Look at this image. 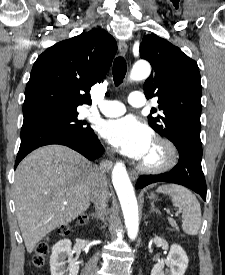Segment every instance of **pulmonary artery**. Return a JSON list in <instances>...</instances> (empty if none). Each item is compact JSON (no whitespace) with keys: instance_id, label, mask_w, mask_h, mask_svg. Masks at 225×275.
<instances>
[{"instance_id":"obj_1","label":"pulmonary artery","mask_w":225,"mask_h":275,"mask_svg":"<svg viewBox=\"0 0 225 275\" xmlns=\"http://www.w3.org/2000/svg\"><path fill=\"white\" fill-rule=\"evenodd\" d=\"M128 102L132 107L140 108L145 105V96L142 92H133L129 95ZM126 107L119 101L105 100L98 109L89 108L87 113L91 115H103L106 117H115L122 115Z\"/></svg>"}]
</instances>
